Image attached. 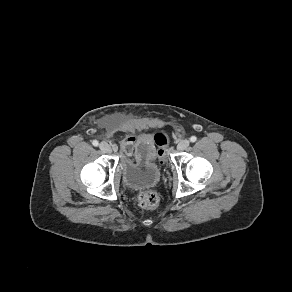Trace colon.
Listing matches in <instances>:
<instances>
[{
  "instance_id": "1",
  "label": "colon",
  "mask_w": 292,
  "mask_h": 292,
  "mask_svg": "<svg viewBox=\"0 0 292 292\" xmlns=\"http://www.w3.org/2000/svg\"><path fill=\"white\" fill-rule=\"evenodd\" d=\"M156 143L160 147L159 154L163 155L164 149L168 144V137L163 133H158L156 135ZM139 205L145 209H152L156 207L159 203V195L154 190L142 191L138 195Z\"/></svg>"
}]
</instances>
